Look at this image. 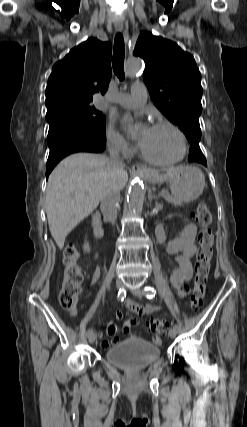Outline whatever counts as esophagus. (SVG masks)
Listing matches in <instances>:
<instances>
[{
  "instance_id": "esophagus-1",
  "label": "esophagus",
  "mask_w": 247,
  "mask_h": 427,
  "mask_svg": "<svg viewBox=\"0 0 247 427\" xmlns=\"http://www.w3.org/2000/svg\"><path fill=\"white\" fill-rule=\"evenodd\" d=\"M115 29L117 32H122L123 31V26L122 25H116ZM132 170L142 173V174H153V171L150 170L147 167L141 166V165H133L132 166Z\"/></svg>"
}]
</instances>
